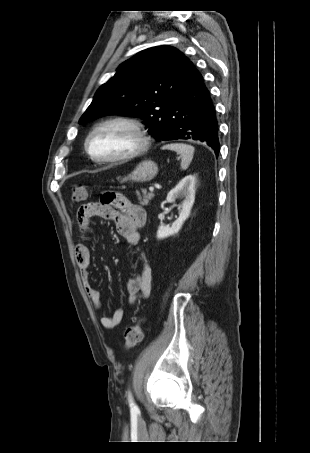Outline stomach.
<instances>
[{
	"label": "stomach",
	"instance_id": "obj_1",
	"mask_svg": "<svg viewBox=\"0 0 310 453\" xmlns=\"http://www.w3.org/2000/svg\"><path fill=\"white\" fill-rule=\"evenodd\" d=\"M158 173V166L151 160H144L140 162L136 168L124 177L122 181H133V182H147L152 180Z\"/></svg>",
	"mask_w": 310,
	"mask_h": 453
}]
</instances>
